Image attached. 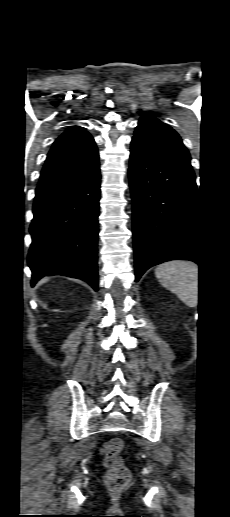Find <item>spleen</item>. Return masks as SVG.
<instances>
[{
	"label": "spleen",
	"mask_w": 230,
	"mask_h": 517,
	"mask_svg": "<svg viewBox=\"0 0 230 517\" xmlns=\"http://www.w3.org/2000/svg\"><path fill=\"white\" fill-rule=\"evenodd\" d=\"M155 275L161 285L175 293L187 306L198 303V266L188 261H172L158 266Z\"/></svg>",
	"instance_id": "1"
}]
</instances>
